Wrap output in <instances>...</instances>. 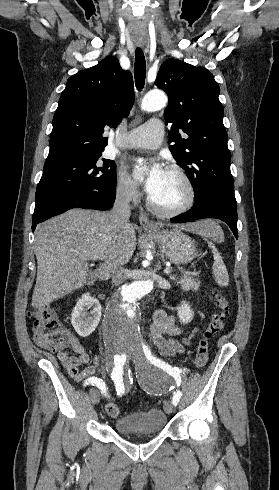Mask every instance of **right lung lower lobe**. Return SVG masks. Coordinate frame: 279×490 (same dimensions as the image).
I'll return each mask as SVG.
<instances>
[{
	"label": "right lung lower lobe",
	"instance_id": "obj_1",
	"mask_svg": "<svg viewBox=\"0 0 279 490\" xmlns=\"http://www.w3.org/2000/svg\"><path fill=\"white\" fill-rule=\"evenodd\" d=\"M115 189L107 191L59 190L42 193L36 197L32 231L35 230L38 223L72 208L110 209L115 201Z\"/></svg>",
	"mask_w": 279,
	"mask_h": 490
}]
</instances>
